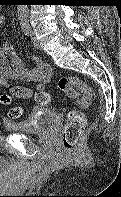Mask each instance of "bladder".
<instances>
[{"instance_id": "31cf9c89", "label": "bladder", "mask_w": 121, "mask_h": 197, "mask_svg": "<svg viewBox=\"0 0 121 197\" xmlns=\"http://www.w3.org/2000/svg\"><path fill=\"white\" fill-rule=\"evenodd\" d=\"M56 118V113L50 108H39L27 119L10 123L7 129L16 133L37 134L50 129Z\"/></svg>"}]
</instances>
